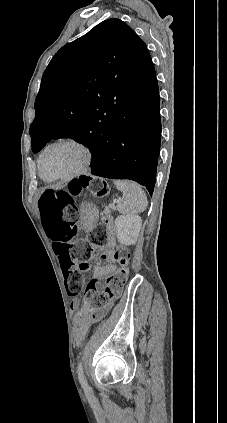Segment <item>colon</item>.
Returning a JSON list of instances; mask_svg holds the SVG:
<instances>
[{"label":"colon","mask_w":227,"mask_h":423,"mask_svg":"<svg viewBox=\"0 0 227 423\" xmlns=\"http://www.w3.org/2000/svg\"><path fill=\"white\" fill-rule=\"evenodd\" d=\"M99 184L89 178L72 181L66 188H46L42 190L38 206L43 227L52 241L56 242V255L59 258L65 288L69 296H76L82 290L83 273L88 270L93 258V248L108 242L111 219L105 217L90 234L87 241L74 243L70 235L75 231L79 211L76 197L83 189H99ZM100 193L105 188H100ZM129 252L118 249L114 259L119 268L106 279L90 280L84 290L85 312L97 311L110 300L121 295L129 273Z\"/></svg>","instance_id":"obj_1"}]
</instances>
